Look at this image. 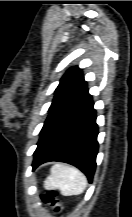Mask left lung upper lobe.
Returning a JSON list of instances; mask_svg holds the SVG:
<instances>
[{
  "label": "left lung upper lobe",
  "mask_w": 132,
  "mask_h": 217,
  "mask_svg": "<svg viewBox=\"0 0 132 217\" xmlns=\"http://www.w3.org/2000/svg\"><path fill=\"white\" fill-rule=\"evenodd\" d=\"M86 90L87 83L82 75V70L78 67L68 69L55 90V96L49 108V115L40 132V136L49 124Z\"/></svg>",
  "instance_id": "1"
}]
</instances>
